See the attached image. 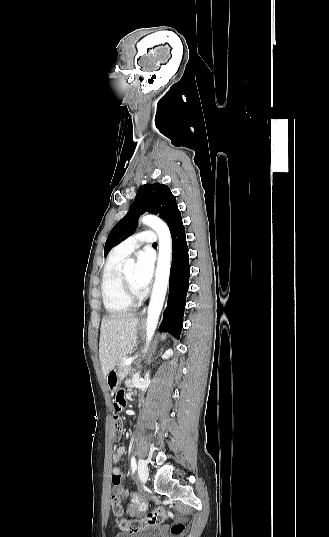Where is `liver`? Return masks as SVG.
Returning a JSON list of instances; mask_svg holds the SVG:
<instances>
[{
  "label": "liver",
  "instance_id": "1",
  "mask_svg": "<svg viewBox=\"0 0 329 537\" xmlns=\"http://www.w3.org/2000/svg\"><path fill=\"white\" fill-rule=\"evenodd\" d=\"M138 322L139 319L132 314L109 315L102 319L99 359L105 377L133 350L137 341Z\"/></svg>",
  "mask_w": 329,
  "mask_h": 537
}]
</instances>
